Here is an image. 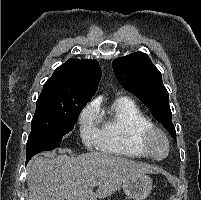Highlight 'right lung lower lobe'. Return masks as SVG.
I'll list each match as a JSON object with an SVG mask.
<instances>
[{
	"label": "right lung lower lobe",
	"instance_id": "1",
	"mask_svg": "<svg viewBox=\"0 0 201 200\" xmlns=\"http://www.w3.org/2000/svg\"><path fill=\"white\" fill-rule=\"evenodd\" d=\"M59 146V143H46V142H30L26 145L27 157H26V164L28 161L37 153L41 151H48L53 150Z\"/></svg>",
	"mask_w": 201,
	"mask_h": 200
}]
</instances>
